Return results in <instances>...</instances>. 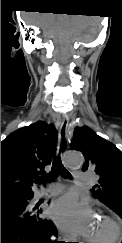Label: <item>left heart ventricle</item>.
Segmentation results:
<instances>
[{
	"instance_id": "left-heart-ventricle-1",
	"label": "left heart ventricle",
	"mask_w": 122,
	"mask_h": 243,
	"mask_svg": "<svg viewBox=\"0 0 122 243\" xmlns=\"http://www.w3.org/2000/svg\"><path fill=\"white\" fill-rule=\"evenodd\" d=\"M107 230V226L103 220L99 219H94L90 231H89V236L90 237H99L103 235Z\"/></svg>"
}]
</instances>
